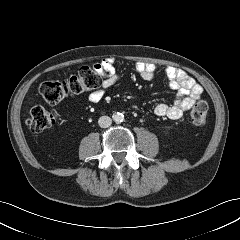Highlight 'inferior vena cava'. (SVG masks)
<instances>
[{
  "instance_id": "inferior-vena-cava-1",
  "label": "inferior vena cava",
  "mask_w": 240,
  "mask_h": 240,
  "mask_svg": "<svg viewBox=\"0 0 240 240\" xmlns=\"http://www.w3.org/2000/svg\"><path fill=\"white\" fill-rule=\"evenodd\" d=\"M98 124L101 128H107L112 124V119L109 116H101L98 120Z\"/></svg>"
}]
</instances>
